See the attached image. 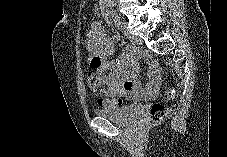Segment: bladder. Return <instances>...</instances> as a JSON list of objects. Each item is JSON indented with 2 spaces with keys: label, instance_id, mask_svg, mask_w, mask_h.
<instances>
[{
  "label": "bladder",
  "instance_id": "31cf9c89",
  "mask_svg": "<svg viewBox=\"0 0 227 157\" xmlns=\"http://www.w3.org/2000/svg\"><path fill=\"white\" fill-rule=\"evenodd\" d=\"M143 112L141 104L133 103L117 107L97 108L94 114L118 124L128 125L135 122Z\"/></svg>",
  "mask_w": 227,
  "mask_h": 157
}]
</instances>
